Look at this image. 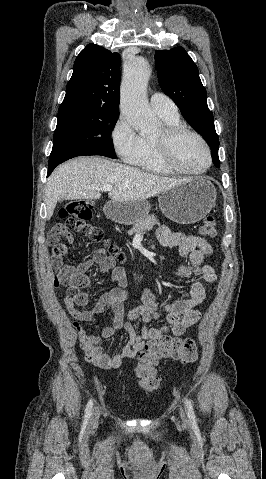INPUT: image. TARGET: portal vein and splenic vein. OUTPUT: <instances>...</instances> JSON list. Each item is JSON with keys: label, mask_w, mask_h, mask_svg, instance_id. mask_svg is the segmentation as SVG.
<instances>
[{"label": "portal vein and splenic vein", "mask_w": 266, "mask_h": 479, "mask_svg": "<svg viewBox=\"0 0 266 479\" xmlns=\"http://www.w3.org/2000/svg\"><path fill=\"white\" fill-rule=\"evenodd\" d=\"M113 189V187L111 185H105L103 186L102 188H100V191H111Z\"/></svg>", "instance_id": "portal-vein-and-splenic-vein-1"}]
</instances>
